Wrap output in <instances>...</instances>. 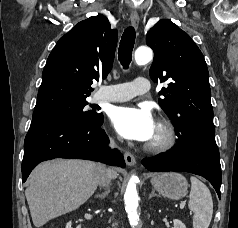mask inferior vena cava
Segmentation results:
<instances>
[{
    "mask_svg": "<svg viewBox=\"0 0 238 228\" xmlns=\"http://www.w3.org/2000/svg\"><path fill=\"white\" fill-rule=\"evenodd\" d=\"M111 147H114V141L111 140L110 143ZM112 176H111V170L110 169H105V167L102 166L101 173L99 175V185L101 186H109L111 182Z\"/></svg>",
    "mask_w": 238,
    "mask_h": 228,
    "instance_id": "obj_1",
    "label": "inferior vena cava"
}]
</instances>
